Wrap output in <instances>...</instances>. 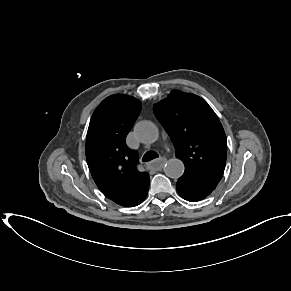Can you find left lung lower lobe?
<instances>
[{"label": "left lung lower lobe", "instance_id": "1", "mask_svg": "<svg viewBox=\"0 0 291 291\" xmlns=\"http://www.w3.org/2000/svg\"><path fill=\"white\" fill-rule=\"evenodd\" d=\"M176 189H177V192L179 193V195L187 201L196 202V201L204 199V197L188 193L177 186H176Z\"/></svg>", "mask_w": 291, "mask_h": 291}]
</instances>
